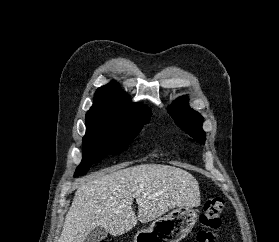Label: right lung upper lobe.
<instances>
[{
  "mask_svg": "<svg viewBox=\"0 0 279 242\" xmlns=\"http://www.w3.org/2000/svg\"><path fill=\"white\" fill-rule=\"evenodd\" d=\"M151 115L148 107L132 103L115 83H109L95 92L93 106L87 112L86 120L99 119L128 125L150 121Z\"/></svg>",
  "mask_w": 279,
  "mask_h": 242,
  "instance_id": "right-lung-upper-lobe-1",
  "label": "right lung upper lobe"
}]
</instances>
